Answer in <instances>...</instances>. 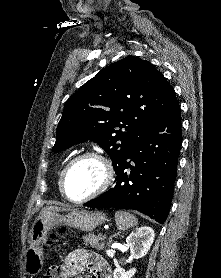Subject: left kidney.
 Instances as JSON below:
<instances>
[{
  "label": "left kidney",
  "instance_id": "5707ae66",
  "mask_svg": "<svg viewBox=\"0 0 221 278\" xmlns=\"http://www.w3.org/2000/svg\"><path fill=\"white\" fill-rule=\"evenodd\" d=\"M154 237L153 229L148 226L140 227L133 231L126 239V245L130 248L131 256L135 259L144 257L148 253ZM135 273V268L129 271L116 268L113 275L114 278H132Z\"/></svg>",
  "mask_w": 221,
  "mask_h": 278
}]
</instances>
